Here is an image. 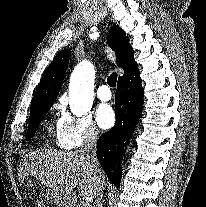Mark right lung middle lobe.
Segmentation results:
<instances>
[{"mask_svg":"<svg viewBox=\"0 0 206 207\" xmlns=\"http://www.w3.org/2000/svg\"><path fill=\"white\" fill-rule=\"evenodd\" d=\"M51 106L52 104H45L30 111V123L26 135L28 140L35 135L42 117L48 112Z\"/></svg>","mask_w":206,"mask_h":207,"instance_id":"obj_1","label":"right lung middle lobe"}]
</instances>
